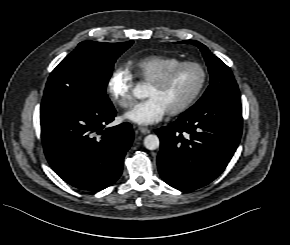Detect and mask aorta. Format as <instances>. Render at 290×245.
Wrapping results in <instances>:
<instances>
[{
	"label": "aorta",
	"instance_id": "obj_1",
	"mask_svg": "<svg viewBox=\"0 0 290 245\" xmlns=\"http://www.w3.org/2000/svg\"><path fill=\"white\" fill-rule=\"evenodd\" d=\"M134 94L138 98L141 97V91H140V87L139 86H137L135 88ZM159 145H160V140H159L157 135L150 134V135H147L144 138V146L148 150H155V149L159 148Z\"/></svg>",
	"mask_w": 290,
	"mask_h": 245
}]
</instances>
